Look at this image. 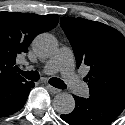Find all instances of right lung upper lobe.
I'll return each instance as SVG.
<instances>
[{
  "label": "right lung upper lobe",
  "mask_w": 125,
  "mask_h": 125,
  "mask_svg": "<svg viewBox=\"0 0 125 125\" xmlns=\"http://www.w3.org/2000/svg\"><path fill=\"white\" fill-rule=\"evenodd\" d=\"M59 16L0 12V85L24 80L14 72L18 54L27 53L33 38L57 26Z\"/></svg>",
  "instance_id": "right-lung-upper-lobe-1"
}]
</instances>
